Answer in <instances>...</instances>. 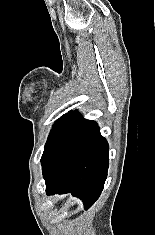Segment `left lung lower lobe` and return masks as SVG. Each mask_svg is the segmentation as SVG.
I'll return each mask as SVG.
<instances>
[{
    "mask_svg": "<svg viewBox=\"0 0 155 235\" xmlns=\"http://www.w3.org/2000/svg\"><path fill=\"white\" fill-rule=\"evenodd\" d=\"M108 143L93 120L70 133L42 166L46 192L71 193L88 209L100 196L109 165Z\"/></svg>",
    "mask_w": 155,
    "mask_h": 235,
    "instance_id": "0a47b994",
    "label": "left lung lower lobe"
}]
</instances>
